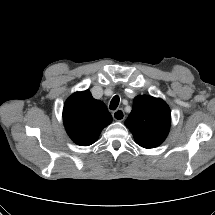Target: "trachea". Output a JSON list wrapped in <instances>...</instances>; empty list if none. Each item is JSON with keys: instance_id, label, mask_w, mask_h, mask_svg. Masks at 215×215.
<instances>
[{"instance_id": "1", "label": "trachea", "mask_w": 215, "mask_h": 215, "mask_svg": "<svg viewBox=\"0 0 215 215\" xmlns=\"http://www.w3.org/2000/svg\"><path fill=\"white\" fill-rule=\"evenodd\" d=\"M120 98L118 95L114 96L110 102V109L115 110L119 105Z\"/></svg>"}]
</instances>
